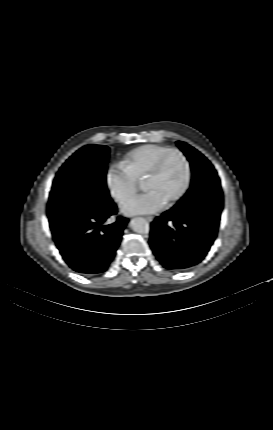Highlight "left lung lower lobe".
I'll list each match as a JSON object with an SVG mask.
<instances>
[{
  "mask_svg": "<svg viewBox=\"0 0 273 430\" xmlns=\"http://www.w3.org/2000/svg\"><path fill=\"white\" fill-rule=\"evenodd\" d=\"M222 208L221 190L205 188L158 216L149 243L160 263L183 270L201 262L216 238Z\"/></svg>",
  "mask_w": 273,
  "mask_h": 430,
  "instance_id": "1",
  "label": "left lung lower lobe"
}]
</instances>
